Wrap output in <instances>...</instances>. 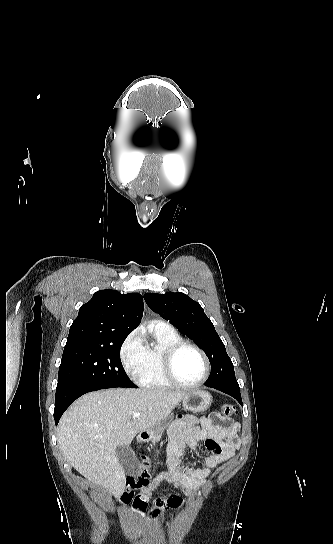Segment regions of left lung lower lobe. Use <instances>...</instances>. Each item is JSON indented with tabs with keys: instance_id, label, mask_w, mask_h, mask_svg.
Listing matches in <instances>:
<instances>
[{
	"instance_id": "0a47b994",
	"label": "left lung lower lobe",
	"mask_w": 333,
	"mask_h": 544,
	"mask_svg": "<svg viewBox=\"0 0 333 544\" xmlns=\"http://www.w3.org/2000/svg\"><path fill=\"white\" fill-rule=\"evenodd\" d=\"M219 391H222L232 397H234L241 405H242V399L240 394V388H234V387H212Z\"/></svg>"
}]
</instances>
